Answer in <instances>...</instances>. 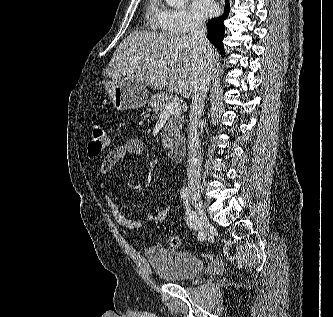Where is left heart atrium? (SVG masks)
Returning a JSON list of instances; mask_svg holds the SVG:
<instances>
[{
    "instance_id": "39dd6f15",
    "label": "left heart atrium",
    "mask_w": 333,
    "mask_h": 317,
    "mask_svg": "<svg viewBox=\"0 0 333 317\" xmlns=\"http://www.w3.org/2000/svg\"><path fill=\"white\" fill-rule=\"evenodd\" d=\"M192 13L198 20L207 19L217 12V4L214 0H192Z\"/></svg>"
}]
</instances>
